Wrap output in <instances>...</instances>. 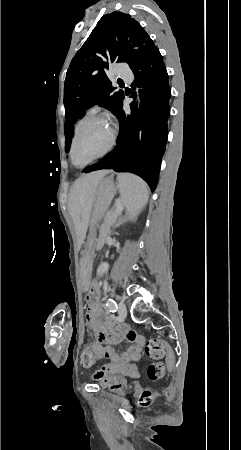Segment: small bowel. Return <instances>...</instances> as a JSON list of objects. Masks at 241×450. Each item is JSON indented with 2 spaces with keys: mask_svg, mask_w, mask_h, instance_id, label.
<instances>
[{
  "mask_svg": "<svg viewBox=\"0 0 241 450\" xmlns=\"http://www.w3.org/2000/svg\"><path fill=\"white\" fill-rule=\"evenodd\" d=\"M85 304L88 306V310L85 312L87 324L102 325V316H96L100 309V299L88 298ZM107 331H103L101 327H94L92 329L94 336H101V340L96 338V342L92 343L93 360L98 355H103L105 359H110L112 363L107 364L105 369H98L91 378L111 391L120 392L127 385V377H139L138 370L133 368L131 364L140 359L145 338L134 329L126 326L116 331V326L109 324ZM124 344L127 345L122 350H115V346Z\"/></svg>",
  "mask_w": 241,
  "mask_h": 450,
  "instance_id": "c3829d8e",
  "label": "small bowel"
}]
</instances>
